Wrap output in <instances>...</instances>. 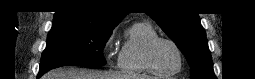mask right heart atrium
Masks as SVG:
<instances>
[{
    "mask_svg": "<svg viewBox=\"0 0 255 79\" xmlns=\"http://www.w3.org/2000/svg\"><path fill=\"white\" fill-rule=\"evenodd\" d=\"M115 31H111L103 43V52L109 64H112L113 59L117 57V51L114 47Z\"/></svg>",
    "mask_w": 255,
    "mask_h": 79,
    "instance_id": "1",
    "label": "right heart atrium"
}]
</instances>
